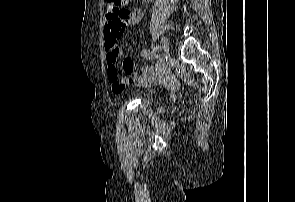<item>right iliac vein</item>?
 Returning <instances> with one entry per match:
<instances>
[{"label": "right iliac vein", "mask_w": 295, "mask_h": 202, "mask_svg": "<svg viewBox=\"0 0 295 202\" xmlns=\"http://www.w3.org/2000/svg\"><path fill=\"white\" fill-rule=\"evenodd\" d=\"M161 50L164 54L169 53V42L166 37L161 38Z\"/></svg>", "instance_id": "obj_1"}]
</instances>
